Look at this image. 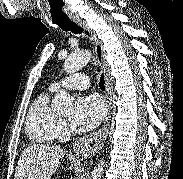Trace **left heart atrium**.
<instances>
[{
  "label": "left heart atrium",
  "mask_w": 183,
  "mask_h": 179,
  "mask_svg": "<svg viewBox=\"0 0 183 179\" xmlns=\"http://www.w3.org/2000/svg\"><path fill=\"white\" fill-rule=\"evenodd\" d=\"M105 116V106L95 95L81 96L77 99L70 117L71 126L79 132L94 129Z\"/></svg>",
  "instance_id": "left-heart-atrium-1"
}]
</instances>
